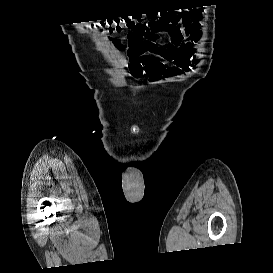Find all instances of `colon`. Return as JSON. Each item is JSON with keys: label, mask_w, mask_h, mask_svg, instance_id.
<instances>
[{"label": "colon", "mask_w": 273, "mask_h": 273, "mask_svg": "<svg viewBox=\"0 0 273 273\" xmlns=\"http://www.w3.org/2000/svg\"><path fill=\"white\" fill-rule=\"evenodd\" d=\"M163 21L167 20L166 17H161ZM96 27L101 31L109 33H118L124 30L128 31V39L132 44L140 43L145 36L149 35L151 28H157L159 25L147 24L140 20L134 19V17H123L118 19H110L105 21H99L96 23Z\"/></svg>", "instance_id": "colon-1"}]
</instances>
